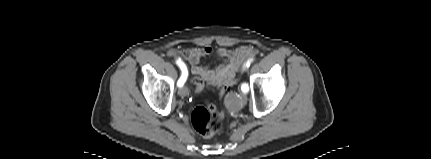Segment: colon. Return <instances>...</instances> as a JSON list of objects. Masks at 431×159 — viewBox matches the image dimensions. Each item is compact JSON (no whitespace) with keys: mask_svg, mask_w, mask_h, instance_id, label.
I'll use <instances>...</instances> for the list:
<instances>
[{"mask_svg":"<svg viewBox=\"0 0 431 159\" xmlns=\"http://www.w3.org/2000/svg\"><path fill=\"white\" fill-rule=\"evenodd\" d=\"M241 80V75L237 78H232L222 86L220 94L223 96L231 85L238 83ZM189 83L196 85L195 92L201 93L203 90V79L201 77H190ZM205 106L196 107L191 115V123L195 131L202 137L209 138L218 133L222 128L221 115L217 112L214 104L210 101H205Z\"/></svg>","mask_w":431,"mask_h":159,"instance_id":"5ec220e1","label":"colon"}]
</instances>
